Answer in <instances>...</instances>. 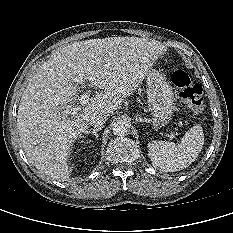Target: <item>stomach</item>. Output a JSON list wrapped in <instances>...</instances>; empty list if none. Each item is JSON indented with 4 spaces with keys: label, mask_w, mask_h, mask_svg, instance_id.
Masks as SVG:
<instances>
[{
    "label": "stomach",
    "mask_w": 233,
    "mask_h": 233,
    "mask_svg": "<svg viewBox=\"0 0 233 233\" xmlns=\"http://www.w3.org/2000/svg\"><path fill=\"white\" fill-rule=\"evenodd\" d=\"M146 83L147 101L153 124L156 127L165 126L170 122L175 110L173 88L165 76L154 69L148 72Z\"/></svg>",
    "instance_id": "obj_1"
}]
</instances>
